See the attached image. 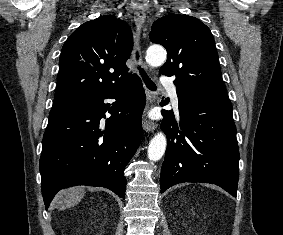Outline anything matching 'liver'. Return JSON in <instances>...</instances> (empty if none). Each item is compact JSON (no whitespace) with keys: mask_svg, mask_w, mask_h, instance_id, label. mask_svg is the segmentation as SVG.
I'll return each instance as SVG.
<instances>
[{"mask_svg":"<svg viewBox=\"0 0 283 235\" xmlns=\"http://www.w3.org/2000/svg\"><path fill=\"white\" fill-rule=\"evenodd\" d=\"M85 195L83 187L65 189L56 197V204L59 210H65L77 205Z\"/></svg>","mask_w":283,"mask_h":235,"instance_id":"liver-1","label":"liver"}]
</instances>
